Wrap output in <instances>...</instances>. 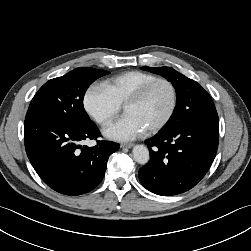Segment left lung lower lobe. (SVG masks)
<instances>
[{
	"instance_id": "0a47b994",
	"label": "left lung lower lobe",
	"mask_w": 251,
	"mask_h": 251,
	"mask_svg": "<svg viewBox=\"0 0 251 251\" xmlns=\"http://www.w3.org/2000/svg\"><path fill=\"white\" fill-rule=\"evenodd\" d=\"M174 128L161 130L145 143L149 162L139 180L149 191L171 196L193 188L209 170L219 141V119L209 94H200Z\"/></svg>"
}]
</instances>
